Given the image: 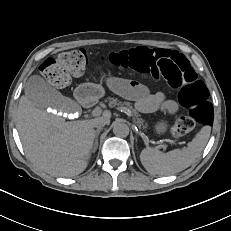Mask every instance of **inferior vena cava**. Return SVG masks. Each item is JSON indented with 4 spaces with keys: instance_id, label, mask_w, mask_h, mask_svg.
Wrapping results in <instances>:
<instances>
[{
    "instance_id": "602c4592",
    "label": "inferior vena cava",
    "mask_w": 231,
    "mask_h": 231,
    "mask_svg": "<svg viewBox=\"0 0 231 231\" xmlns=\"http://www.w3.org/2000/svg\"><path fill=\"white\" fill-rule=\"evenodd\" d=\"M105 124H106V122H105L104 120L98 119V120H96V121L94 122V127H96V128L99 129V128L104 127Z\"/></svg>"
}]
</instances>
